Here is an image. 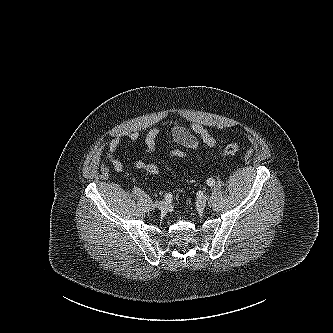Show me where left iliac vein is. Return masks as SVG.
Listing matches in <instances>:
<instances>
[{
  "label": "left iliac vein",
  "instance_id": "left-iliac-vein-1",
  "mask_svg": "<svg viewBox=\"0 0 333 333\" xmlns=\"http://www.w3.org/2000/svg\"><path fill=\"white\" fill-rule=\"evenodd\" d=\"M207 201H208L207 196L200 197L196 202L197 209L200 211L203 210L207 205Z\"/></svg>",
  "mask_w": 333,
  "mask_h": 333
}]
</instances>
